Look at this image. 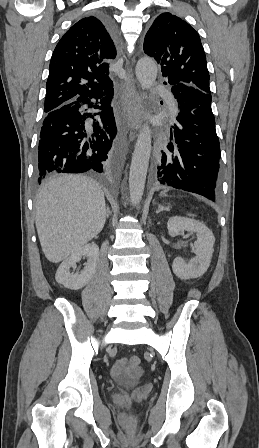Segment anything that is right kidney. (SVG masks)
Wrapping results in <instances>:
<instances>
[{"mask_svg":"<svg viewBox=\"0 0 259 448\" xmlns=\"http://www.w3.org/2000/svg\"><path fill=\"white\" fill-rule=\"evenodd\" d=\"M82 256H86L87 258L85 268H83L80 274H70V268H73L76 262H80ZM98 258L99 248L97 244H86V246H82V248L73 252L59 266L55 276L56 282L63 284L64 288H70V290H81L93 278V274L96 272Z\"/></svg>","mask_w":259,"mask_h":448,"instance_id":"obj_1","label":"right kidney"}]
</instances>
